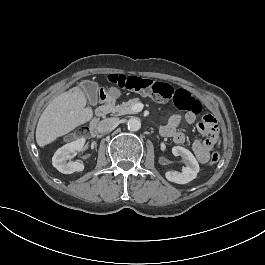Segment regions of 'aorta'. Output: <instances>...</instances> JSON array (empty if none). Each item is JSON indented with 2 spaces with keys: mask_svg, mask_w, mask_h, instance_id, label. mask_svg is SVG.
<instances>
[{
  "mask_svg": "<svg viewBox=\"0 0 265 265\" xmlns=\"http://www.w3.org/2000/svg\"><path fill=\"white\" fill-rule=\"evenodd\" d=\"M127 127L130 131H138L141 128V121L137 117H132L127 122Z\"/></svg>",
  "mask_w": 265,
  "mask_h": 265,
  "instance_id": "obj_1",
  "label": "aorta"
}]
</instances>
